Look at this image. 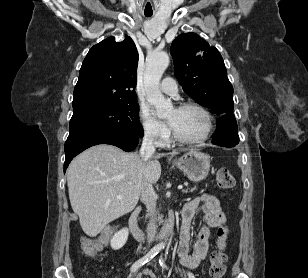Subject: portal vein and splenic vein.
Segmentation results:
<instances>
[{
	"label": "portal vein and splenic vein",
	"instance_id": "1",
	"mask_svg": "<svg viewBox=\"0 0 308 278\" xmlns=\"http://www.w3.org/2000/svg\"><path fill=\"white\" fill-rule=\"evenodd\" d=\"M178 189H179V190H182V189H183V186H182V185H179V186H178ZM117 198H118V199H121L122 196L119 195V196H117Z\"/></svg>",
	"mask_w": 308,
	"mask_h": 278
}]
</instances>
